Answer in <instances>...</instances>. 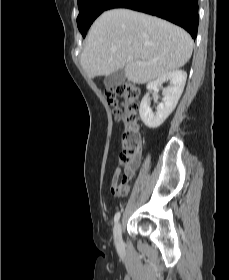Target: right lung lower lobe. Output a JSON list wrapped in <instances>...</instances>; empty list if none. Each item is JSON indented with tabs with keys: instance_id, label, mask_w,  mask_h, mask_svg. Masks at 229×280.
Segmentation results:
<instances>
[{
	"instance_id": "98d812e1",
	"label": "right lung lower lobe",
	"mask_w": 229,
	"mask_h": 280,
	"mask_svg": "<svg viewBox=\"0 0 229 280\" xmlns=\"http://www.w3.org/2000/svg\"><path fill=\"white\" fill-rule=\"evenodd\" d=\"M113 8L151 14L183 27L194 39L197 36L198 0H114L108 9Z\"/></svg>"
}]
</instances>
